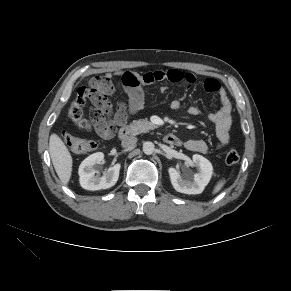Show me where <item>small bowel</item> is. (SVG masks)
Instances as JSON below:
<instances>
[{"label": "small bowel", "instance_id": "obj_1", "mask_svg": "<svg viewBox=\"0 0 291 291\" xmlns=\"http://www.w3.org/2000/svg\"><path fill=\"white\" fill-rule=\"evenodd\" d=\"M113 77H118L123 85L126 100L122 101L115 110L107 100L102 109V121L96 127V132L102 137H111L114 134L115 126L124 125L127 120L136 115L142 110L145 102L144 86L152 85L160 81H169L172 83H185L187 87H191L196 82V77L192 73H185L180 70H155L143 74L134 71H123L116 74H106L102 77L93 78L89 85L96 86L102 81L108 82L106 95L114 93L115 88L112 84ZM208 82H213L215 86H211ZM204 87L207 92L216 93L219 96L221 107L208 115L209 120L215 126V133L217 138V146L219 148L225 147L230 142V128L232 125L231 115V101L227 95L226 90L220 83L213 78L205 81ZM171 108L179 111L183 108L181 99L172 101ZM187 113L191 116L202 115V110L196 106L187 108ZM177 145H181V142ZM185 148L193 151L204 153L207 151V144L203 140L191 139L185 142Z\"/></svg>", "mask_w": 291, "mask_h": 291}]
</instances>
